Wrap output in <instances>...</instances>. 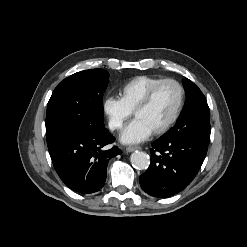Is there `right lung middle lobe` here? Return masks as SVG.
<instances>
[{"mask_svg":"<svg viewBox=\"0 0 247 247\" xmlns=\"http://www.w3.org/2000/svg\"><path fill=\"white\" fill-rule=\"evenodd\" d=\"M109 74L103 69L77 72L59 83L47 105V142L58 136L104 126L102 97Z\"/></svg>","mask_w":247,"mask_h":247,"instance_id":"obj_1","label":"right lung middle lobe"}]
</instances>
